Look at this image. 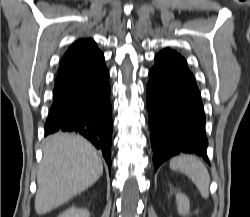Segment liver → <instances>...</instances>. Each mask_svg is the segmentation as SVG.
I'll use <instances>...</instances> for the list:
<instances>
[{
    "mask_svg": "<svg viewBox=\"0 0 250 217\" xmlns=\"http://www.w3.org/2000/svg\"><path fill=\"white\" fill-rule=\"evenodd\" d=\"M102 173V160L90 142L71 134L49 136L44 142L37 175V214L66 203L93 185Z\"/></svg>",
    "mask_w": 250,
    "mask_h": 217,
    "instance_id": "6515ba94",
    "label": "liver"
}]
</instances>
